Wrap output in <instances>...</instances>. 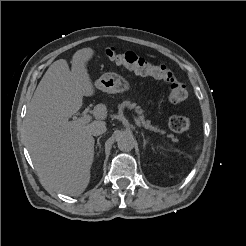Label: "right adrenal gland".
I'll use <instances>...</instances> for the list:
<instances>
[{"instance_id":"1","label":"right adrenal gland","mask_w":246,"mask_h":246,"mask_svg":"<svg viewBox=\"0 0 246 246\" xmlns=\"http://www.w3.org/2000/svg\"><path fill=\"white\" fill-rule=\"evenodd\" d=\"M100 139H101V136H99L98 138H97V146L100 148ZM99 154V152L97 153V155Z\"/></svg>"}]
</instances>
